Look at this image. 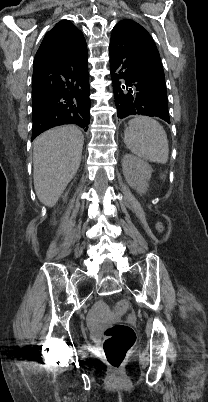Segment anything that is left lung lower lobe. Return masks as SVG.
I'll return each mask as SVG.
<instances>
[{
	"instance_id": "left-lung-lower-lobe-1",
	"label": "left lung lower lobe",
	"mask_w": 208,
	"mask_h": 402,
	"mask_svg": "<svg viewBox=\"0 0 208 402\" xmlns=\"http://www.w3.org/2000/svg\"><path fill=\"white\" fill-rule=\"evenodd\" d=\"M150 35L131 24L118 23L110 40V73L117 116L159 117L170 123L166 85L139 68L140 41Z\"/></svg>"
}]
</instances>
